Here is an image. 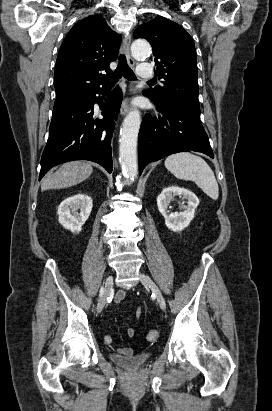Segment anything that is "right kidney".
Masks as SVG:
<instances>
[{
  "label": "right kidney",
  "instance_id": "ca27d5eb",
  "mask_svg": "<svg viewBox=\"0 0 272 411\" xmlns=\"http://www.w3.org/2000/svg\"><path fill=\"white\" fill-rule=\"evenodd\" d=\"M92 206V199L86 194L66 198L58 207L59 223L72 233L79 234L90 216Z\"/></svg>",
  "mask_w": 272,
  "mask_h": 411
}]
</instances>
